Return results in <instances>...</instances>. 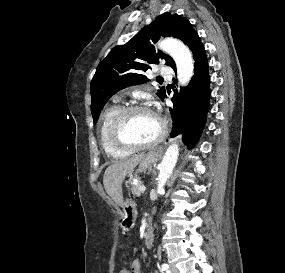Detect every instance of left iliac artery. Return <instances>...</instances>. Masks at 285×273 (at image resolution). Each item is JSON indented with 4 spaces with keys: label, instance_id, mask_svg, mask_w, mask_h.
Masks as SVG:
<instances>
[{
    "label": "left iliac artery",
    "instance_id": "44dca946",
    "mask_svg": "<svg viewBox=\"0 0 285 273\" xmlns=\"http://www.w3.org/2000/svg\"><path fill=\"white\" fill-rule=\"evenodd\" d=\"M161 268H162V271H166V273H170V271L168 270L169 269L168 264L166 263L162 264Z\"/></svg>",
    "mask_w": 285,
    "mask_h": 273
}]
</instances>
